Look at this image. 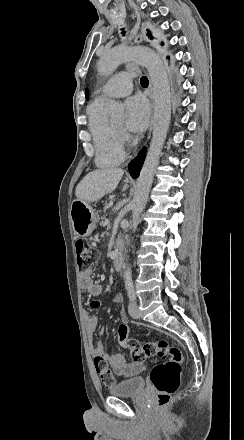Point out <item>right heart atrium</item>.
<instances>
[{
  "label": "right heart atrium",
  "mask_w": 244,
  "mask_h": 440,
  "mask_svg": "<svg viewBox=\"0 0 244 440\" xmlns=\"http://www.w3.org/2000/svg\"><path fill=\"white\" fill-rule=\"evenodd\" d=\"M129 140V136L124 131H118L116 133V136L113 140V143L116 144H122L124 142H127Z\"/></svg>",
  "instance_id": "1"
}]
</instances>
